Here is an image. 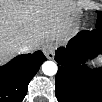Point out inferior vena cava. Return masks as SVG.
<instances>
[{
    "label": "inferior vena cava",
    "mask_w": 102,
    "mask_h": 102,
    "mask_svg": "<svg viewBox=\"0 0 102 102\" xmlns=\"http://www.w3.org/2000/svg\"><path fill=\"white\" fill-rule=\"evenodd\" d=\"M33 50H34V47L33 46L25 45V46H22L19 49V52L20 53H31Z\"/></svg>",
    "instance_id": "obj_1"
}]
</instances>
